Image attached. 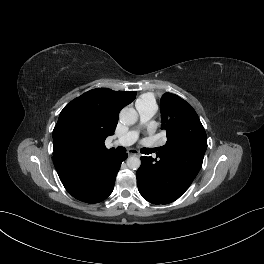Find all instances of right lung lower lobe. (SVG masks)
Segmentation results:
<instances>
[{
    "label": "right lung lower lobe",
    "instance_id": "obj_1",
    "mask_svg": "<svg viewBox=\"0 0 264 264\" xmlns=\"http://www.w3.org/2000/svg\"><path fill=\"white\" fill-rule=\"evenodd\" d=\"M126 158L127 154L117 152L107 156L91 175L90 191L72 196L86 203H98L106 199L113 191L116 175Z\"/></svg>",
    "mask_w": 264,
    "mask_h": 264
}]
</instances>
